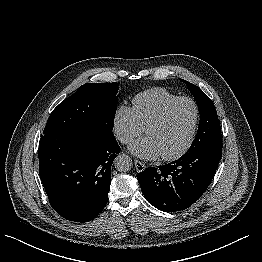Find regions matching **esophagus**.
Returning a JSON list of instances; mask_svg holds the SVG:
<instances>
[{
  "label": "esophagus",
  "instance_id": "1",
  "mask_svg": "<svg viewBox=\"0 0 262 262\" xmlns=\"http://www.w3.org/2000/svg\"><path fill=\"white\" fill-rule=\"evenodd\" d=\"M134 163H135L136 170H137L138 172H142V171L145 170L146 165H145L143 162L135 159V160H134Z\"/></svg>",
  "mask_w": 262,
  "mask_h": 262
}]
</instances>
